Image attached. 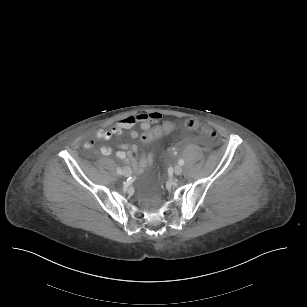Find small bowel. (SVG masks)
Returning a JSON list of instances; mask_svg holds the SVG:
<instances>
[{"mask_svg":"<svg viewBox=\"0 0 307 307\" xmlns=\"http://www.w3.org/2000/svg\"><path fill=\"white\" fill-rule=\"evenodd\" d=\"M162 115L158 112H141L134 115H129L117 122L113 127L108 130L99 129L95 132L94 136L97 139L109 140L115 135H120L123 131L129 130L131 138H138V133L132 128L135 125H140L142 130L150 128L153 124L159 123ZM94 146L93 140H87L84 142V147L90 149ZM100 154L108 156L113 152L112 147L103 146L99 150ZM139 154L137 157L136 155ZM116 156L129 163L135 170H143L149 167L155 157L154 150H151L148 154L142 152L141 148L136 145H120L119 150L116 152Z\"/></svg>","mask_w":307,"mask_h":307,"instance_id":"obj_1","label":"small bowel"}]
</instances>
